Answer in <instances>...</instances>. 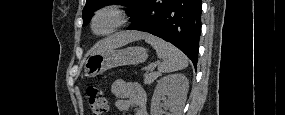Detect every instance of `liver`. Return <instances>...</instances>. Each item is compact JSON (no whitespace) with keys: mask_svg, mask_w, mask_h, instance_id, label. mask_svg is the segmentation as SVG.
<instances>
[{"mask_svg":"<svg viewBox=\"0 0 285 115\" xmlns=\"http://www.w3.org/2000/svg\"><path fill=\"white\" fill-rule=\"evenodd\" d=\"M147 37V34L142 32H135V31H125L114 34L105 40H103L95 49L94 53H104L115 48L124 46L130 42L144 39Z\"/></svg>","mask_w":285,"mask_h":115,"instance_id":"obj_1","label":"liver"}]
</instances>
